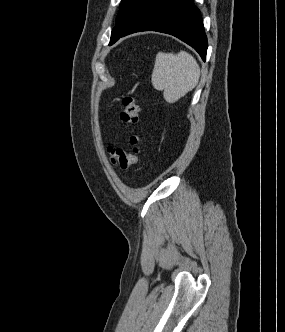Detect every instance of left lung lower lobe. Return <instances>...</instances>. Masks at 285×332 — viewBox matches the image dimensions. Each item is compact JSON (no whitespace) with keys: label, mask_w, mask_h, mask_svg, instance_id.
I'll return each mask as SVG.
<instances>
[{"label":"left lung lower lobe","mask_w":285,"mask_h":332,"mask_svg":"<svg viewBox=\"0 0 285 332\" xmlns=\"http://www.w3.org/2000/svg\"><path fill=\"white\" fill-rule=\"evenodd\" d=\"M150 30L181 39L193 47L205 61L207 37L200 11L194 6L193 0H152L109 45L120 37Z\"/></svg>","instance_id":"1"}]
</instances>
